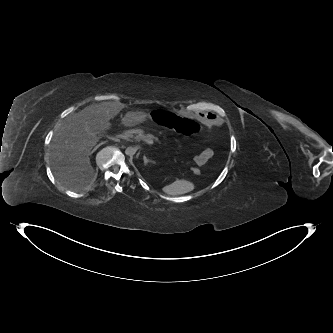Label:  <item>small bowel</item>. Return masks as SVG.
<instances>
[{"label":"small bowel","instance_id":"small-bowel-1","mask_svg":"<svg viewBox=\"0 0 333 333\" xmlns=\"http://www.w3.org/2000/svg\"><path fill=\"white\" fill-rule=\"evenodd\" d=\"M194 115L202 118L208 125L218 124V117L212 112L195 113ZM213 156V151L209 148L202 151L194 157V162L197 166L205 165Z\"/></svg>","mask_w":333,"mask_h":333}]
</instances>
